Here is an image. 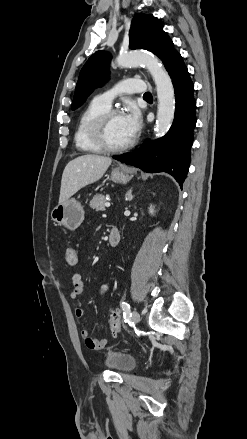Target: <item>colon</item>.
I'll return each instance as SVG.
<instances>
[{
  "label": "colon",
  "mask_w": 247,
  "mask_h": 439,
  "mask_svg": "<svg viewBox=\"0 0 247 439\" xmlns=\"http://www.w3.org/2000/svg\"><path fill=\"white\" fill-rule=\"evenodd\" d=\"M66 261L69 265L74 266L78 262L77 251L74 248H68L65 254ZM109 325L111 332L117 334L121 328V315L118 309L112 311L110 315Z\"/></svg>",
  "instance_id": "1"
}]
</instances>
